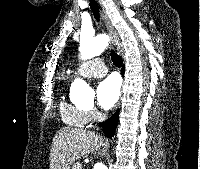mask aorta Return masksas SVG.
Here are the masks:
<instances>
[{"mask_svg": "<svg viewBox=\"0 0 200 169\" xmlns=\"http://www.w3.org/2000/svg\"><path fill=\"white\" fill-rule=\"evenodd\" d=\"M109 37L105 34L92 36H81L79 52L82 60H88L100 55L108 46ZM71 95L75 100L78 99H93L94 91L82 79H75L70 88ZM94 169H107L102 162H97Z\"/></svg>", "mask_w": 200, "mask_h": 169, "instance_id": "762f6f07", "label": "aorta"}]
</instances>
